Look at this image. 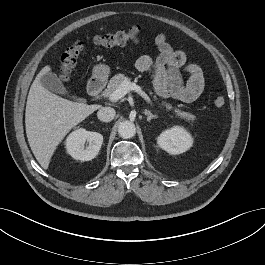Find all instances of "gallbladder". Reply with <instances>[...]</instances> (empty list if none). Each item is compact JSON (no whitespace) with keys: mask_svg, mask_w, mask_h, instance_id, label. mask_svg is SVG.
Listing matches in <instances>:
<instances>
[{"mask_svg":"<svg viewBox=\"0 0 265 265\" xmlns=\"http://www.w3.org/2000/svg\"><path fill=\"white\" fill-rule=\"evenodd\" d=\"M41 84L48 90L60 95H68L66 88L61 80L54 73H46L40 80ZM76 99V97H73Z\"/></svg>","mask_w":265,"mask_h":265,"instance_id":"1","label":"gallbladder"}]
</instances>
